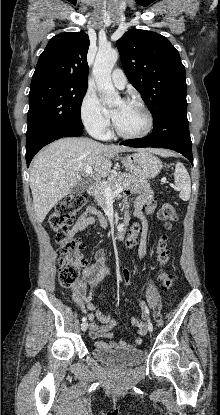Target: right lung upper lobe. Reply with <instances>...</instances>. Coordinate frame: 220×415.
Returning a JSON list of instances; mask_svg holds the SVG:
<instances>
[{
  "label": "right lung upper lobe",
  "instance_id": "right-lung-upper-lobe-1",
  "mask_svg": "<svg viewBox=\"0 0 220 415\" xmlns=\"http://www.w3.org/2000/svg\"><path fill=\"white\" fill-rule=\"evenodd\" d=\"M89 37L81 32H65L52 37L39 57L32 82L52 79L87 85Z\"/></svg>",
  "mask_w": 220,
  "mask_h": 415
}]
</instances>
